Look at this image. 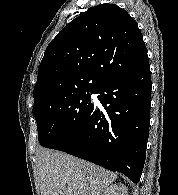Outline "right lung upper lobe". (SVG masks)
I'll list each match as a JSON object with an SVG mask.
<instances>
[{"label": "right lung upper lobe", "instance_id": "right-lung-upper-lobe-1", "mask_svg": "<svg viewBox=\"0 0 178 195\" xmlns=\"http://www.w3.org/2000/svg\"><path fill=\"white\" fill-rule=\"evenodd\" d=\"M147 62L138 24L125 10L107 3L91 7L46 48L33 91L34 107L80 90L97 91Z\"/></svg>", "mask_w": 178, "mask_h": 195}]
</instances>
